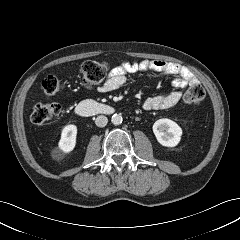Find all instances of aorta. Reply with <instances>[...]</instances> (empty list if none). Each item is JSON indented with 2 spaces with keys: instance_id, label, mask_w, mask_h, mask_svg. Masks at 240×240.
I'll return each instance as SVG.
<instances>
[{
  "instance_id": "1",
  "label": "aorta",
  "mask_w": 240,
  "mask_h": 240,
  "mask_svg": "<svg viewBox=\"0 0 240 240\" xmlns=\"http://www.w3.org/2000/svg\"><path fill=\"white\" fill-rule=\"evenodd\" d=\"M123 121V118L120 114H114L112 117H111V122L112 124L114 125H120Z\"/></svg>"
}]
</instances>
